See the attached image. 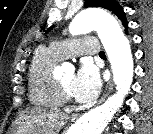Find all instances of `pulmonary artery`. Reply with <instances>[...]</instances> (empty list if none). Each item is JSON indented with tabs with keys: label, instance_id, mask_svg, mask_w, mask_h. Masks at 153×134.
Masks as SVG:
<instances>
[{
	"label": "pulmonary artery",
	"instance_id": "e3ab8cb5",
	"mask_svg": "<svg viewBox=\"0 0 153 134\" xmlns=\"http://www.w3.org/2000/svg\"><path fill=\"white\" fill-rule=\"evenodd\" d=\"M50 49L60 59L82 54L95 55L100 52L99 43L94 37L53 42Z\"/></svg>",
	"mask_w": 153,
	"mask_h": 134
}]
</instances>
